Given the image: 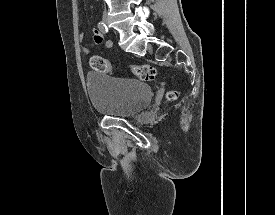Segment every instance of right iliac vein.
Listing matches in <instances>:
<instances>
[{
	"instance_id": "1",
	"label": "right iliac vein",
	"mask_w": 275,
	"mask_h": 215,
	"mask_svg": "<svg viewBox=\"0 0 275 215\" xmlns=\"http://www.w3.org/2000/svg\"><path fill=\"white\" fill-rule=\"evenodd\" d=\"M104 22L106 23V24H108L109 22H108V18L107 17H104Z\"/></svg>"
}]
</instances>
